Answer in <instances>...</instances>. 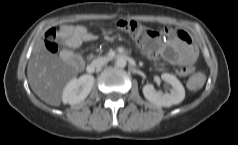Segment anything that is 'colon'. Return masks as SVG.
Listing matches in <instances>:
<instances>
[{"instance_id": "1", "label": "colon", "mask_w": 238, "mask_h": 145, "mask_svg": "<svg viewBox=\"0 0 238 145\" xmlns=\"http://www.w3.org/2000/svg\"><path fill=\"white\" fill-rule=\"evenodd\" d=\"M120 31L128 33L134 37L140 47L150 56L157 57L160 51L162 41L164 39L163 31L145 26L133 20H118L115 24ZM58 29L52 28L45 35V46L51 53H56L59 47ZM205 81L204 75L201 73L194 74L189 79V87L191 89H199Z\"/></svg>"}]
</instances>
